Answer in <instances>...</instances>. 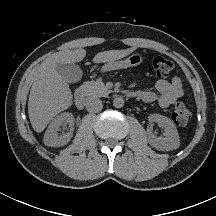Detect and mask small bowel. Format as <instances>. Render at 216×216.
Instances as JSON below:
<instances>
[{
	"instance_id": "obj_1",
	"label": "small bowel",
	"mask_w": 216,
	"mask_h": 216,
	"mask_svg": "<svg viewBox=\"0 0 216 216\" xmlns=\"http://www.w3.org/2000/svg\"><path fill=\"white\" fill-rule=\"evenodd\" d=\"M155 88L158 94L153 91H139L142 95L141 100L144 102L158 100L161 107L167 108L173 105L184 94L179 77H173L171 80L160 79L156 82Z\"/></svg>"
}]
</instances>
